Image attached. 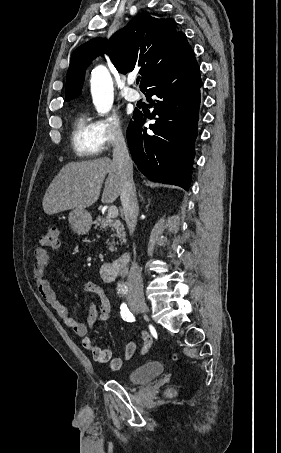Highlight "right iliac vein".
I'll list each match as a JSON object with an SVG mask.
<instances>
[{
    "label": "right iliac vein",
    "instance_id": "1",
    "mask_svg": "<svg viewBox=\"0 0 281 453\" xmlns=\"http://www.w3.org/2000/svg\"><path fill=\"white\" fill-rule=\"evenodd\" d=\"M133 306L140 312H145L147 310V305L144 301H133Z\"/></svg>",
    "mask_w": 281,
    "mask_h": 453
}]
</instances>
